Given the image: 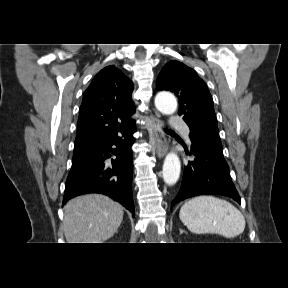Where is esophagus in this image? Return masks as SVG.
<instances>
[{"mask_svg": "<svg viewBox=\"0 0 288 288\" xmlns=\"http://www.w3.org/2000/svg\"><path fill=\"white\" fill-rule=\"evenodd\" d=\"M150 124L153 129L155 139V151L159 158L165 156L167 151V139L163 131V125L159 118L155 116L150 117Z\"/></svg>", "mask_w": 288, "mask_h": 288, "instance_id": "obj_1", "label": "esophagus"}]
</instances>
